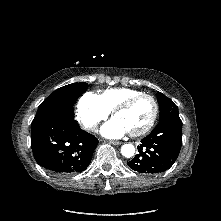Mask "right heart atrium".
Returning <instances> with one entry per match:
<instances>
[{
    "label": "right heart atrium",
    "mask_w": 221,
    "mask_h": 221,
    "mask_svg": "<svg viewBox=\"0 0 221 221\" xmlns=\"http://www.w3.org/2000/svg\"><path fill=\"white\" fill-rule=\"evenodd\" d=\"M109 114L110 111L98 94L86 92L80 97L77 104L76 118L84 129L94 131L98 124L105 120Z\"/></svg>",
    "instance_id": "obj_1"
}]
</instances>
